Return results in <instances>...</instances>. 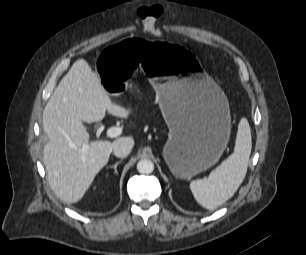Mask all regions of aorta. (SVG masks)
I'll return each mask as SVG.
<instances>
[{"label": "aorta", "instance_id": "762f6f07", "mask_svg": "<svg viewBox=\"0 0 306 255\" xmlns=\"http://www.w3.org/2000/svg\"><path fill=\"white\" fill-rule=\"evenodd\" d=\"M137 170L141 174H150L154 170V163L149 159H141L137 163Z\"/></svg>", "mask_w": 306, "mask_h": 255}]
</instances>
